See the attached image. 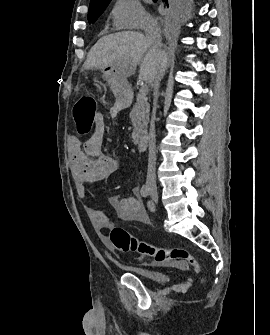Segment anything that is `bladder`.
<instances>
[{
  "label": "bladder",
  "instance_id": "obj_1",
  "mask_svg": "<svg viewBox=\"0 0 270 335\" xmlns=\"http://www.w3.org/2000/svg\"><path fill=\"white\" fill-rule=\"evenodd\" d=\"M141 274V277L147 282H165L168 280L169 275L168 273L160 270V271H146L141 270L138 272Z\"/></svg>",
  "mask_w": 270,
  "mask_h": 335
}]
</instances>
